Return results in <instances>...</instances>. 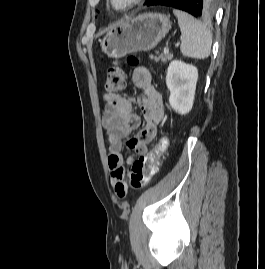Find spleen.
I'll return each instance as SVG.
<instances>
[{
  "mask_svg": "<svg viewBox=\"0 0 265 269\" xmlns=\"http://www.w3.org/2000/svg\"><path fill=\"white\" fill-rule=\"evenodd\" d=\"M178 19L181 30V53L186 57L205 59L210 55L212 46V33L192 15L178 10H173Z\"/></svg>",
  "mask_w": 265,
  "mask_h": 269,
  "instance_id": "obj_1",
  "label": "spleen"
}]
</instances>
